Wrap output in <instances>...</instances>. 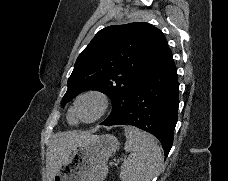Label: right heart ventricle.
Here are the masks:
<instances>
[{
	"mask_svg": "<svg viewBox=\"0 0 228 181\" xmlns=\"http://www.w3.org/2000/svg\"><path fill=\"white\" fill-rule=\"evenodd\" d=\"M70 119H71V120H74V115H73V113L70 114Z\"/></svg>",
	"mask_w": 228,
	"mask_h": 181,
	"instance_id": "e07e8e85",
	"label": "right heart ventricle"
}]
</instances>
